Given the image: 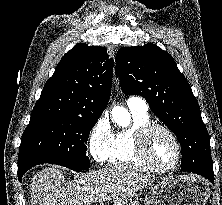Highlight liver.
<instances>
[{"label":"liver","instance_id":"1","mask_svg":"<svg viewBox=\"0 0 222 205\" xmlns=\"http://www.w3.org/2000/svg\"><path fill=\"white\" fill-rule=\"evenodd\" d=\"M156 179L125 166L76 175L66 181L61 166L52 165L33 176L31 205H91L130 196Z\"/></svg>","mask_w":222,"mask_h":205}]
</instances>
